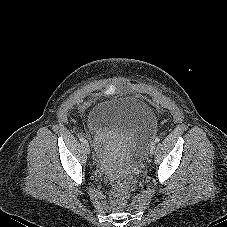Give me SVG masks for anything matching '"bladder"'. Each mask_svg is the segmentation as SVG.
Returning a JSON list of instances; mask_svg holds the SVG:
<instances>
[{"label":"bladder","instance_id":"1","mask_svg":"<svg viewBox=\"0 0 227 227\" xmlns=\"http://www.w3.org/2000/svg\"><path fill=\"white\" fill-rule=\"evenodd\" d=\"M87 130L91 136L116 130L125 138V151L130 156L142 152L144 143L157 129L154 112L136 99L109 100L94 105L87 114Z\"/></svg>","mask_w":227,"mask_h":227}]
</instances>
